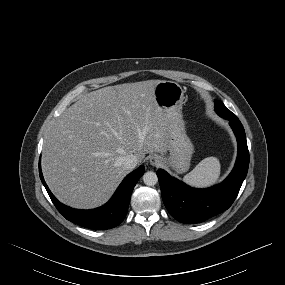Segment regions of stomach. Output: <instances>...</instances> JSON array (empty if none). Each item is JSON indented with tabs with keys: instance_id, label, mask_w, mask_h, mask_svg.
<instances>
[{
	"instance_id": "obj_1",
	"label": "stomach",
	"mask_w": 285,
	"mask_h": 285,
	"mask_svg": "<svg viewBox=\"0 0 285 285\" xmlns=\"http://www.w3.org/2000/svg\"><path fill=\"white\" fill-rule=\"evenodd\" d=\"M184 93V89L173 81H159L154 90L156 103L167 122L169 155L162 160L177 173L188 171L194 153V146L186 135L181 112Z\"/></svg>"
}]
</instances>
